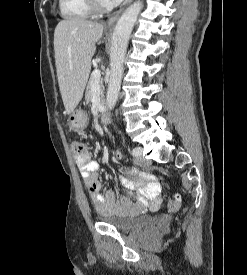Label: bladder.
Returning a JSON list of instances; mask_svg holds the SVG:
<instances>
[{"instance_id":"obj_1","label":"bladder","mask_w":247,"mask_h":275,"mask_svg":"<svg viewBox=\"0 0 247 275\" xmlns=\"http://www.w3.org/2000/svg\"><path fill=\"white\" fill-rule=\"evenodd\" d=\"M97 217L101 223L111 225L124 232H129L138 227L149 226L156 219L154 216L144 215L138 211L127 215L104 214L98 212Z\"/></svg>"}]
</instances>
